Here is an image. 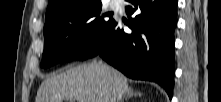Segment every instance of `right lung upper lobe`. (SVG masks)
<instances>
[{"label": "right lung upper lobe", "mask_w": 221, "mask_h": 102, "mask_svg": "<svg viewBox=\"0 0 221 102\" xmlns=\"http://www.w3.org/2000/svg\"><path fill=\"white\" fill-rule=\"evenodd\" d=\"M94 1L98 0H49L45 21L65 8L73 7L76 4H86Z\"/></svg>", "instance_id": "obj_1"}]
</instances>
